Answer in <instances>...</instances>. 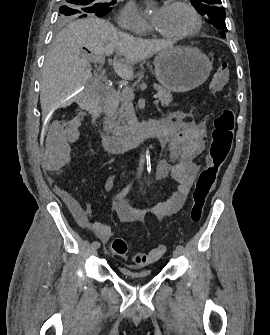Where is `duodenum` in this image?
I'll return each instance as SVG.
<instances>
[{"label": "duodenum", "mask_w": 270, "mask_h": 335, "mask_svg": "<svg viewBox=\"0 0 270 335\" xmlns=\"http://www.w3.org/2000/svg\"><path fill=\"white\" fill-rule=\"evenodd\" d=\"M103 92L105 96L103 104V119L101 122V138L104 149L111 154H120L126 152L140 142L149 138H159L161 134V125L159 121H146L139 125L132 133L117 137L111 133V122L114 113L119 106V93L111 86L104 85Z\"/></svg>", "instance_id": "410a0bca"}]
</instances>
